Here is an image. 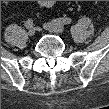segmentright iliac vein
I'll list each match as a JSON object with an SVG mask.
<instances>
[{
  "label": "right iliac vein",
  "mask_w": 109,
  "mask_h": 109,
  "mask_svg": "<svg viewBox=\"0 0 109 109\" xmlns=\"http://www.w3.org/2000/svg\"><path fill=\"white\" fill-rule=\"evenodd\" d=\"M35 33H36V30H35L34 28H30V29L28 30V35H29V36H34Z\"/></svg>",
  "instance_id": "63e3f726"
}]
</instances>
